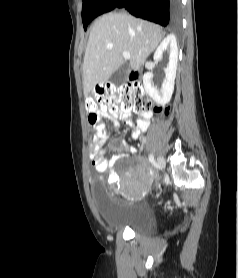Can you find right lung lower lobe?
Wrapping results in <instances>:
<instances>
[{"label": "right lung lower lobe", "instance_id": "obj_1", "mask_svg": "<svg viewBox=\"0 0 238 278\" xmlns=\"http://www.w3.org/2000/svg\"><path fill=\"white\" fill-rule=\"evenodd\" d=\"M115 8H124L136 17L162 26H176L180 22V0H103L92 20Z\"/></svg>", "mask_w": 238, "mask_h": 278}]
</instances>
